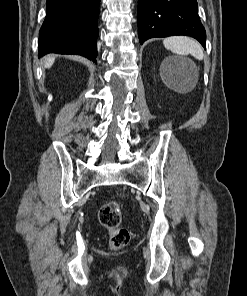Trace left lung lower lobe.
<instances>
[{
    "mask_svg": "<svg viewBox=\"0 0 247 296\" xmlns=\"http://www.w3.org/2000/svg\"><path fill=\"white\" fill-rule=\"evenodd\" d=\"M137 21L140 44L153 37L187 35L206 48L196 0H140Z\"/></svg>",
    "mask_w": 247,
    "mask_h": 296,
    "instance_id": "left-lung-lower-lobe-1",
    "label": "left lung lower lobe"
}]
</instances>
